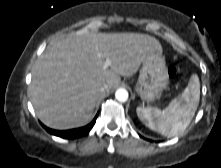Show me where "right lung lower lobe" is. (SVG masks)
I'll list each match as a JSON object with an SVG mask.
<instances>
[{
  "label": "right lung lower lobe",
  "instance_id": "obj_1",
  "mask_svg": "<svg viewBox=\"0 0 221 168\" xmlns=\"http://www.w3.org/2000/svg\"><path fill=\"white\" fill-rule=\"evenodd\" d=\"M98 114L96 115V117L94 118V120L81 128H77V129H71V130H63V131H59V130H53L50 128H47L43 125V127L50 133L56 136H59L61 138H65V139H75V138H79L82 137L86 134H88V132L91 130V128L93 127V125L95 124L96 118H97Z\"/></svg>",
  "mask_w": 221,
  "mask_h": 168
}]
</instances>
